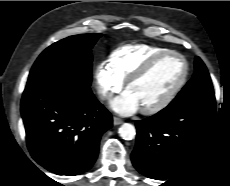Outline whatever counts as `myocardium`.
I'll return each mask as SVG.
<instances>
[{"instance_id": "obj_1", "label": "myocardium", "mask_w": 230, "mask_h": 186, "mask_svg": "<svg viewBox=\"0 0 230 186\" xmlns=\"http://www.w3.org/2000/svg\"><path fill=\"white\" fill-rule=\"evenodd\" d=\"M168 56H176L180 58L184 64V72L179 80V82L175 85V87L159 102L156 104L147 107L142 108V112L146 115H151L160 112L164 108H166L179 94V92L182 90V88L185 86L188 76H189V63L187 59L180 53L173 51V50H167L161 53H158L154 56H152L150 59H148L139 69H137L127 80L125 83V88L128 89V87L133 84L134 82L138 81L142 77H144L152 68L153 66L160 61L161 59L168 57Z\"/></svg>"}]
</instances>
